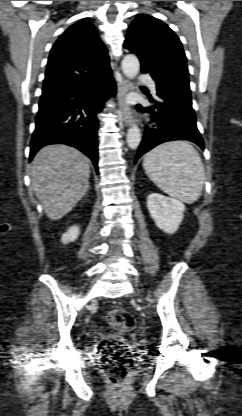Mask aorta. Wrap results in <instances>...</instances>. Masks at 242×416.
Here are the masks:
<instances>
[{"mask_svg": "<svg viewBox=\"0 0 242 416\" xmlns=\"http://www.w3.org/2000/svg\"><path fill=\"white\" fill-rule=\"evenodd\" d=\"M140 70V63L138 58L133 54L126 55L122 60V71L124 75L133 79L137 76ZM127 144L131 149H136L141 141V131L138 126L133 125L127 132Z\"/></svg>", "mask_w": 242, "mask_h": 416, "instance_id": "1", "label": "aorta"}]
</instances>
